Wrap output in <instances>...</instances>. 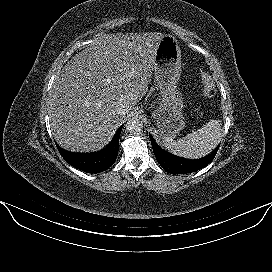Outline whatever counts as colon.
<instances>
[{
	"label": "colon",
	"mask_w": 272,
	"mask_h": 272,
	"mask_svg": "<svg viewBox=\"0 0 272 272\" xmlns=\"http://www.w3.org/2000/svg\"><path fill=\"white\" fill-rule=\"evenodd\" d=\"M202 82H203V89L198 96L202 98H209L213 96L215 93V85L210 75L207 73H202ZM196 97H197L196 95L188 96V97H185L184 101L188 102L195 99Z\"/></svg>",
	"instance_id": "colon-1"
}]
</instances>
